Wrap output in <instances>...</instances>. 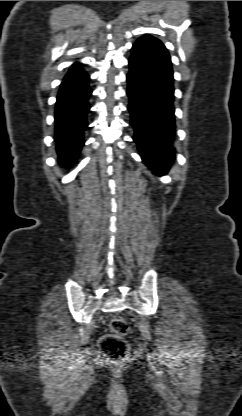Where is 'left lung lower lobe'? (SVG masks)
<instances>
[{
	"instance_id": "obj_1",
	"label": "left lung lower lobe",
	"mask_w": 242,
	"mask_h": 416,
	"mask_svg": "<svg viewBox=\"0 0 242 416\" xmlns=\"http://www.w3.org/2000/svg\"><path fill=\"white\" fill-rule=\"evenodd\" d=\"M127 75L130 125L142 161L153 173L166 171L175 149V108L171 59L162 42L151 35L132 47Z\"/></svg>"
}]
</instances>
